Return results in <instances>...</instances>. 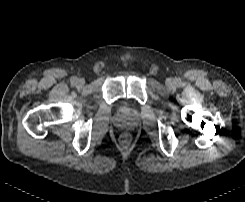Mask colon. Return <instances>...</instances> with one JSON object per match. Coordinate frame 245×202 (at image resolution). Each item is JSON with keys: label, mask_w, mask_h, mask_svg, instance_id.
I'll use <instances>...</instances> for the list:
<instances>
[{"label": "colon", "mask_w": 245, "mask_h": 202, "mask_svg": "<svg viewBox=\"0 0 245 202\" xmlns=\"http://www.w3.org/2000/svg\"><path fill=\"white\" fill-rule=\"evenodd\" d=\"M123 140H124V141H129V140H130V135L125 134V135L123 136Z\"/></svg>", "instance_id": "5ec220e1"}]
</instances>
